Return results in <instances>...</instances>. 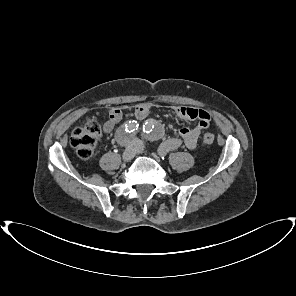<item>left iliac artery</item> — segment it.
Here are the masks:
<instances>
[{"instance_id": "44dca946", "label": "left iliac artery", "mask_w": 296, "mask_h": 296, "mask_svg": "<svg viewBox=\"0 0 296 296\" xmlns=\"http://www.w3.org/2000/svg\"><path fill=\"white\" fill-rule=\"evenodd\" d=\"M145 124H147V122H146ZM148 126H149V125H144V127H143V132H144V133H145V132H146V133H149V132H150V131H148V129H149ZM151 131H152V130H151Z\"/></svg>"}]
</instances>
